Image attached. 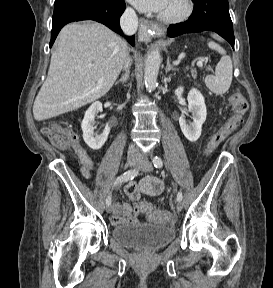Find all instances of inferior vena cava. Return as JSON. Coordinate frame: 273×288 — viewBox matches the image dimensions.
<instances>
[{"instance_id":"inferior-vena-cava-1","label":"inferior vena cava","mask_w":273,"mask_h":288,"mask_svg":"<svg viewBox=\"0 0 273 288\" xmlns=\"http://www.w3.org/2000/svg\"><path fill=\"white\" fill-rule=\"evenodd\" d=\"M120 25L125 34L133 35L134 33H136L138 27V17L132 8H126L123 15L121 16ZM130 65L131 59L127 56L124 61V69L127 71ZM137 152H139L138 148L135 145L131 144L129 147V154Z\"/></svg>"}]
</instances>
